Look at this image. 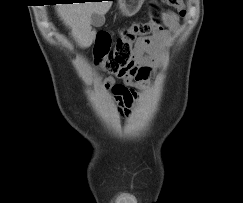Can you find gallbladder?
<instances>
[{
  "mask_svg": "<svg viewBox=\"0 0 243 203\" xmlns=\"http://www.w3.org/2000/svg\"><path fill=\"white\" fill-rule=\"evenodd\" d=\"M105 23V17L102 14L93 13L91 16V24L95 27H101Z\"/></svg>",
  "mask_w": 243,
  "mask_h": 203,
  "instance_id": "1",
  "label": "gallbladder"
}]
</instances>
